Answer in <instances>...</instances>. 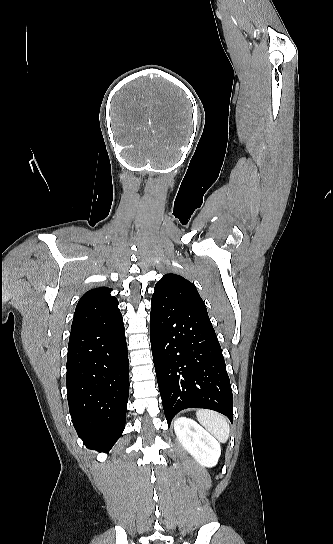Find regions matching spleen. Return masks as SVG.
Returning a JSON list of instances; mask_svg holds the SVG:
<instances>
[{"instance_id": "1", "label": "spleen", "mask_w": 333, "mask_h": 544, "mask_svg": "<svg viewBox=\"0 0 333 544\" xmlns=\"http://www.w3.org/2000/svg\"><path fill=\"white\" fill-rule=\"evenodd\" d=\"M197 420L220 442L225 443L229 437L230 427L227 419L212 410H198Z\"/></svg>"}]
</instances>
